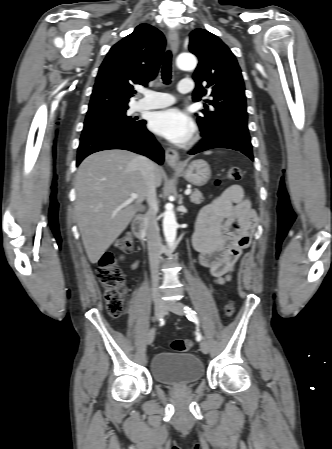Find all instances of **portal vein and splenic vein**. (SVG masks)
Returning a JSON list of instances; mask_svg holds the SVG:
<instances>
[{"instance_id": "portal-vein-and-splenic-vein-1", "label": "portal vein and splenic vein", "mask_w": 332, "mask_h": 449, "mask_svg": "<svg viewBox=\"0 0 332 449\" xmlns=\"http://www.w3.org/2000/svg\"><path fill=\"white\" fill-rule=\"evenodd\" d=\"M189 194H191V190H190V189H187V190L185 191V195H189ZM137 198H138V195L135 194V193H132V194L130 195V201H133V200H135V199H137Z\"/></svg>"}]
</instances>
